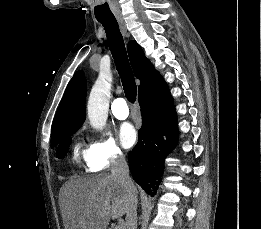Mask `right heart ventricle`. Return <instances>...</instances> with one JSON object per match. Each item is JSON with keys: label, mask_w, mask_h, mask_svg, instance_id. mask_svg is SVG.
I'll list each match as a JSON object with an SVG mask.
<instances>
[{"label": "right heart ventricle", "mask_w": 261, "mask_h": 229, "mask_svg": "<svg viewBox=\"0 0 261 229\" xmlns=\"http://www.w3.org/2000/svg\"><path fill=\"white\" fill-rule=\"evenodd\" d=\"M87 155H88V150H80L79 147H76V148L74 149V158H75L76 160H79V157H80V156L86 158Z\"/></svg>", "instance_id": "right-heart-ventricle-1"}]
</instances>
